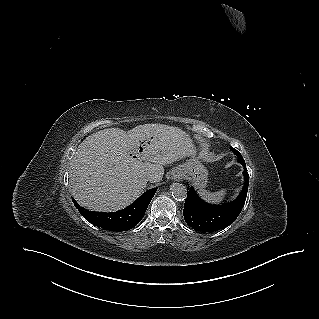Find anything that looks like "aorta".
Returning a JSON list of instances; mask_svg holds the SVG:
<instances>
[{
	"label": "aorta",
	"instance_id": "762f6f07",
	"mask_svg": "<svg viewBox=\"0 0 319 319\" xmlns=\"http://www.w3.org/2000/svg\"><path fill=\"white\" fill-rule=\"evenodd\" d=\"M171 195L176 200H184L187 197V189L183 184L174 183L170 188Z\"/></svg>",
	"mask_w": 319,
	"mask_h": 319
}]
</instances>
